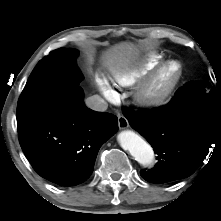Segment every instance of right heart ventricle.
<instances>
[{
    "instance_id": "e07e8e85",
    "label": "right heart ventricle",
    "mask_w": 221,
    "mask_h": 221,
    "mask_svg": "<svg viewBox=\"0 0 221 221\" xmlns=\"http://www.w3.org/2000/svg\"><path fill=\"white\" fill-rule=\"evenodd\" d=\"M162 62V56L151 55L147 62L138 68L127 69L121 72H112L115 82L122 86L130 87L141 81L147 74L153 71Z\"/></svg>"
}]
</instances>
